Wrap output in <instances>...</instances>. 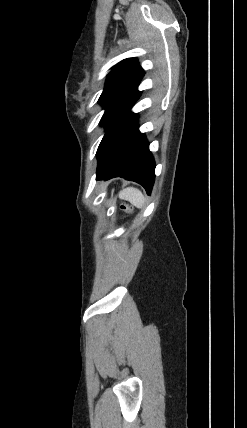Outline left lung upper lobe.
Returning <instances> with one entry per match:
<instances>
[{
	"label": "left lung upper lobe",
	"mask_w": 247,
	"mask_h": 428,
	"mask_svg": "<svg viewBox=\"0 0 247 428\" xmlns=\"http://www.w3.org/2000/svg\"><path fill=\"white\" fill-rule=\"evenodd\" d=\"M143 75L144 71L136 58L124 59L113 67L98 100L105 108L101 124H105L119 109L141 94L137 87Z\"/></svg>",
	"instance_id": "obj_1"
}]
</instances>
